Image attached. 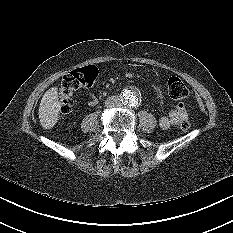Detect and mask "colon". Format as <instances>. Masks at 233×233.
I'll use <instances>...</instances> for the list:
<instances>
[{"mask_svg":"<svg viewBox=\"0 0 233 233\" xmlns=\"http://www.w3.org/2000/svg\"><path fill=\"white\" fill-rule=\"evenodd\" d=\"M99 79V70L94 65L85 66L72 70L64 75L59 92L60 114H68L73 106V94L81 88L92 87ZM168 93L175 100H185L190 96V90L186 84L178 77H170L167 82ZM182 131L190 128L187 119L180 122Z\"/></svg>","mask_w":233,"mask_h":233,"instance_id":"obj_1","label":"colon"}]
</instances>
